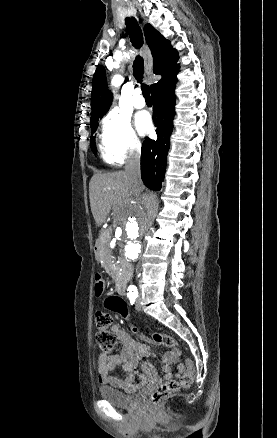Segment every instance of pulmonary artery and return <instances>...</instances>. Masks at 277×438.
<instances>
[{
	"label": "pulmonary artery",
	"mask_w": 277,
	"mask_h": 438,
	"mask_svg": "<svg viewBox=\"0 0 277 438\" xmlns=\"http://www.w3.org/2000/svg\"><path fill=\"white\" fill-rule=\"evenodd\" d=\"M132 92L134 96H142L144 94V89L142 87H134ZM133 104L137 109H142L146 106V102L142 97H135L133 99Z\"/></svg>",
	"instance_id": "1"
}]
</instances>
